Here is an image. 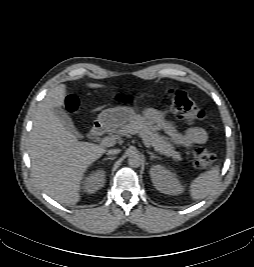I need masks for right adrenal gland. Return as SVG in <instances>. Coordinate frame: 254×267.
Returning <instances> with one entry per match:
<instances>
[{"instance_id": "right-adrenal-gland-1", "label": "right adrenal gland", "mask_w": 254, "mask_h": 267, "mask_svg": "<svg viewBox=\"0 0 254 267\" xmlns=\"http://www.w3.org/2000/svg\"><path fill=\"white\" fill-rule=\"evenodd\" d=\"M115 157H107V158H104L103 161H106V160H114Z\"/></svg>"}]
</instances>
